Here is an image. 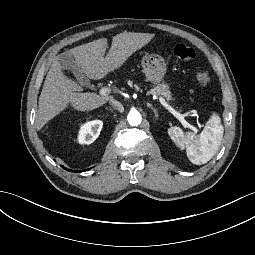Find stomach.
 Segmentation results:
<instances>
[{
  "label": "stomach",
  "mask_w": 255,
  "mask_h": 255,
  "mask_svg": "<svg viewBox=\"0 0 255 255\" xmlns=\"http://www.w3.org/2000/svg\"><path fill=\"white\" fill-rule=\"evenodd\" d=\"M166 70V65L163 62L156 63L154 66L144 65V74L147 81L154 86L162 84Z\"/></svg>",
  "instance_id": "obj_1"
}]
</instances>
